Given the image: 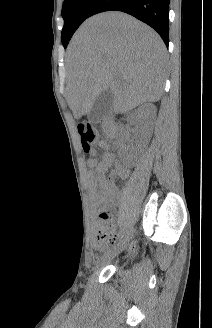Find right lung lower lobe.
<instances>
[{
  "instance_id": "obj_1",
  "label": "right lung lower lobe",
  "mask_w": 212,
  "mask_h": 328,
  "mask_svg": "<svg viewBox=\"0 0 212 328\" xmlns=\"http://www.w3.org/2000/svg\"><path fill=\"white\" fill-rule=\"evenodd\" d=\"M122 11L155 29L168 46L169 0H97L88 16L104 11Z\"/></svg>"
}]
</instances>
